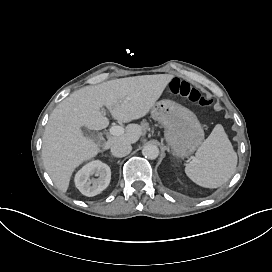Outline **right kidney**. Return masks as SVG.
I'll use <instances>...</instances> for the list:
<instances>
[{"label": "right kidney", "mask_w": 272, "mask_h": 272, "mask_svg": "<svg viewBox=\"0 0 272 272\" xmlns=\"http://www.w3.org/2000/svg\"><path fill=\"white\" fill-rule=\"evenodd\" d=\"M95 175L97 178H90ZM111 180L110 167L99 161L84 165L75 175V186L85 196L92 197L106 189Z\"/></svg>", "instance_id": "right-kidney-1"}]
</instances>
